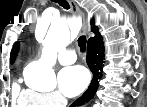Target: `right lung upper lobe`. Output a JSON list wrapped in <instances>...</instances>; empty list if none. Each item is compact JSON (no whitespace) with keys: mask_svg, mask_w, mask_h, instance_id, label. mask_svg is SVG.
<instances>
[{"mask_svg":"<svg viewBox=\"0 0 147 107\" xmlns=\"http://www.w3.org/2000/svg\"><path fill=\"white\" fill-rule=\"evenodd\" d=\"M91 31L95 33V36L94 37L101 36L100 33H99V31H98V28L95 27V24H94V21L93 20L91 21ZM94 37H92V38H94ZM92 38H90V39H92ZM18 49H19V44L16 43L13 46V49L11 51V63H13L15 61V58L17 56Z\"/></svg>","mask_w":147,"mask_h":107,"instance_id":"cb5924a9","label":"right lung upper lobe"}]
</instances>
